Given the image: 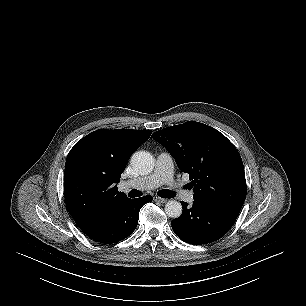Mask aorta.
<instances>
[{
	"label": "aorta",
	"mask_w": 306,
	"mask_h": 306,
	"mask_svg": "<svg viewBox=\"0 0 306 306\" xmlns=\"http://www.w3.org/2000/svg\"><path fill=\"white\" fill-rule=\"evenodd\" d=\"M131 165L136 172L147 175L154 168V160L150 153L137 151L131 157ZM165 213L170 218H178L182 214V205L176 200H170L165 205Z\"/></svg>",
	"instance_id": "obj_1"
}]
</instances>
